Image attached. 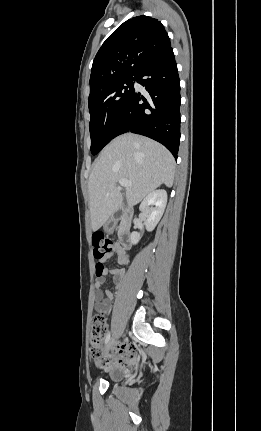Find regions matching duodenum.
I'll return each instance as SVG.
<instances>
[{
  "mask_svg": "<svg viewBox=\"0 0 261 431\" xmlns=\"http://www.w3.org/2000/svg\"><path fill=\"white\" fill-rule=\"evenodd\" d=\"M132 212L129 209L122 210V219L119 225V241L123 249H129L131 246V226ZM115 219L112 218L107 222V226L110 228L114 225Z\"/></svg>",
  "mask_w": 261,
  "mask_h": 431,
  "instance_id": "obj_1",
  "label": "duodenum"
}]
</instances>
